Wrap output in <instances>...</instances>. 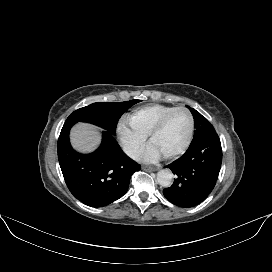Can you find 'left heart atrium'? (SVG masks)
<instances>
[{
    "label": "left heart atrium",
    "mask_w": 272,
    "mask_h": 272,
    "mask_svg": "<svg viewBox=\"0 0 272 272\" xmlns=\"http://www.w3.org/2000/svg\"><path fill=\"white\" fill-rule=\"evenodd\" d=\"M162 156L161 152L156 148L155 145L150 143L144 150L142 157L145 161L153 162L158 160Z\"/></svg>",
    "instance_id": "obj_1"
}]
</instances>
